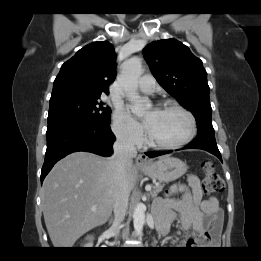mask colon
<instances>
[{
    "mask_svg": "<svg viewBox=\"0 0 261 261\" xmlns=\"http://www.w3.org/2000/svg\"><path fill=\"white\" fill-rule=\"evenodd\" d=\"M203 172L202 191L205 194L220 193L224 190V182L214 169L211 161L206 160L203 162ZM208 240L209 236L207 234H202L192 240L191 244L204 246Z\"/></svg>",
    "mask_w": 261,
    "mask_h": 261,
    "instance_id": "5ec220e1",
    "label": "colon"
}]
</instances>
